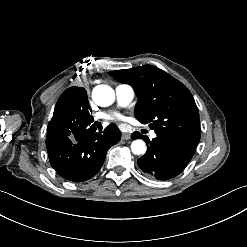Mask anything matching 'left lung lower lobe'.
<instances>
[{
    "mask_svg": "<svg viewBox=\"0 0 247 247\" xmlns=\"http://www.w3.org/2000/svg\"><path fill=\"white\" fill-rule=\"evenodd\" d=\"M133 138H142L148 150L138 159L140 169L159 180H168L180 174L193 157L198 143L173 133H157L149 141L139 132Z\"/></svg>",
    "mask_w": 247,
    "mask_h": 247,
    "instance_id": "obj_1",
    "label": "left lung lower lobe"
}]
</instances>
